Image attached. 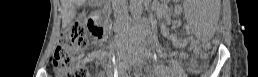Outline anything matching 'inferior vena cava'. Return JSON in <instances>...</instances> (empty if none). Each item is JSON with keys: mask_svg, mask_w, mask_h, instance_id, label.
<instances>
[{"mask_svg": "<svg viewBox=\"0 0 258 77\" xmlns=\"http://www.w3.org/2000/svg\"><path fill=\"white\" fill-rule=\"evenodd\" d=\"M114 13L118 23H122L128 18L125 0H115Z\"/></svg>", "mask_w": 258, "mask_h": 77, "instance_id": "602c4592", "label": "inferior vena cava"}]
</instances>
